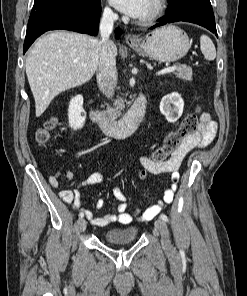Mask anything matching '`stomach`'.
Segmentation results:
<instances>
[{
  "label": "stomach",
  "mask_w": 247,
  "mask_h": 296,
  "mask_svg": "<svg viewBox=\"0 0 247 296\" xmlns=\"http://www.w3.org/2000/svg\"><path fill=\"white\" fill-rule=\"evenodd\" d=\"M188 35L174 25L156 29L130 44L135 51L160 62H174L183 58L190 49Z\"/></svg>",
  "instance_id": "stomach-1"
}]
</instances>
